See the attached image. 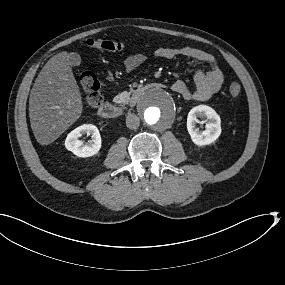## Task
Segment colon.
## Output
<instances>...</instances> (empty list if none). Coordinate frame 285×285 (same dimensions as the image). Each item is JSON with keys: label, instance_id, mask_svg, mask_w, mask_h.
<instances>
[{"label": "colon", "instance_id": "colon-1", "mask_svg": "<svg viewBox=\"0 0 285 285\" xmlns=\"http://www.w3.org/2000/svg\"><path fill=\"white\" fill-rule=\"evenodd\" d=\"M87 46L94 49L106 51H122L126 48V44L115 40L89 39ZM79 83L83 92L86 104L90 107H98L103 101L102 92L96 75L89 71H83L79 75ZM241 93V86L233 82L228 87V94L231 97H237Z\"/></svg>", "mask_w": 285, "mask_h": 285}]
</instances>
